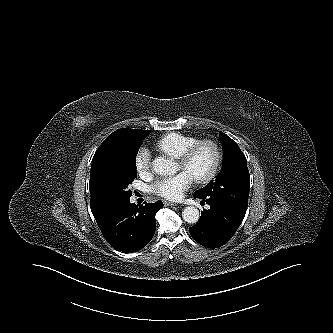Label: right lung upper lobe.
<instances>
[{"instance_id":"1","label":"right lung upper lobe","mask_w":333,"mask_h":333,"mask_svg":"<svg viewBox=\"0 0 333 333\" xmlns=\"http://www.w3.org/2000/svg\"><path fill=\"white\" fill-rule=\"evenodd\" d=\"M149 131L123 128L111 133L96 150L92 160L89 189L91 211L95 219L112 205L106 198L100 183L101 167L106 158L123 144L147 134Z\"/></svg>"}]
</instances>
